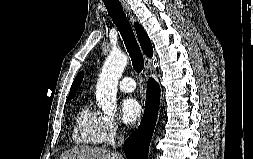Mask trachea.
I'll return each instance as SVG.
<instances>
[{"instance_id": "3493384b", "label": "trachea", "mask_w": 253, "mask_h": 159, "mask_svg": "<svg viewBox=\"0 0 253 159\" xmlns=\"http://www.w3.org/2000/svg\"><path fill=\"white\" fill-rule=\"evenodd\" d=\"M104 4L110 17L120 31L130 55L133 68L137 73H141L144 68V58L121 3L119 0H104Z\"/></svg>"}]
</instances>
